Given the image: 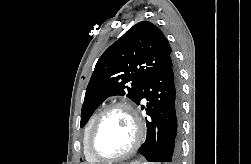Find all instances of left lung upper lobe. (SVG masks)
<instances>
[{"mask_svg": "<svg viewBox=\"0 0 251 164\" xmlns=\"http://www.w3.org/2000/svg\"><path fill=\"white\" fill-rule=\"evenodd\" d=\"M171 52L164 34L151 22L131 27L99 58L87 86L81 124L109 96L127 94L138 104L145 82Z\"/></svg>", "mask_w": 251, "mask_h": 164, "instance_id": "obj_1", "label": "left lung upper lobe"}]
</instances>
